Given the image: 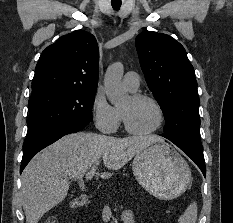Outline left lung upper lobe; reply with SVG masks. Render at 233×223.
Returning <instances> with one entry per match:
<instances>
[{"mask_svg": "<svg viewBox=\"0 0 233 223\" xmlns=\"http://www.w3.org/2000/svg\"><path fill=\"white\" fill-rule=\"evenodd\" d=\"M142 71L165 116L164 137L201 143L194 68L171 36L142 32L135 40Z\"/></svg>", "mask_w": 233, "mask_h": 223, "instance_id": "5c2ea615", "label": "left lung upper lobe"}]
</instances>
